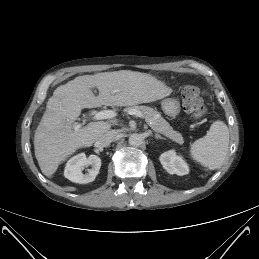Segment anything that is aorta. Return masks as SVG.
<instances>
[{"label": "aorta", "instance_id": "1", "mask_svg": "<svg viewBox=\"0 0 259 259\" xmlns=\"http://www.w3.org/2000/svg\"><path fill=\"white\" fill-rule=\"evenodd\" d=\"M129 144L134 147H138L143 143V138L140 134L134 133L129 136Z\"/></svg>", "mask_w": 259, "mask_h": 259}]
</instances>
